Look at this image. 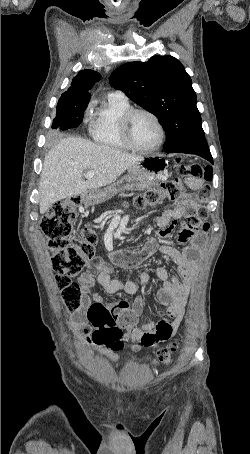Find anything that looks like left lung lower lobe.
<instances>
[{
  "label": "left lung lower lobe",
  "mask_w": 250,
  "mask_h": 454,
  "mask_svg": "<svg viewBox=\"0 0 250 454\" xmlns=\"http://www.w3.org/2000/svg\"><path fill=\"white\" fill-rule=\"evenodd\" d=\"M168 153H188V154H195L201 156L208 160L209 162L213 163V158L211 156L208 144L205 138H201L195 141H192L178 149L170 151Z\"/></svg>",
  "instance_id": "0a47b994"
}]
</instances>
